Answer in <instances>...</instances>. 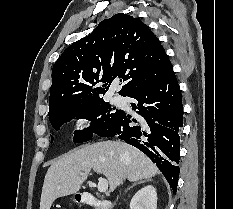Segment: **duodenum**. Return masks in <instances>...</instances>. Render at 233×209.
I'll list each match as a JSON object with an SVG mask.
<instances>
[{
    "mask_svg": "<svg viewBox=\"0 0 233 209\" xmlns=\"http://www.w3.org/2000/svg\"><path fill=\"white\" fill-rule=\"evenodd\" d=\"M78 201L84 205L93 207L94 209H112V202L109 200L97 199L90 193H82L78 197Z\"/></svg>",
    "mask_w": 233,
    "mask_h": 209,
    "instance_id": "obj_1",
    "label": "duodenum"
}]
</instances>
